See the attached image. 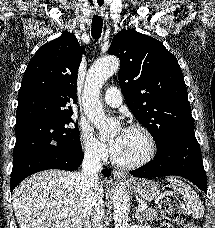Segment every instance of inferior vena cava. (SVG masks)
Returning <instances> with one entry per match:
<instances>
[{"instance_id": "602c4592", "label": "inferior vena cava", "mask_w": 215, "mask_h": 228, "mask_svg": "<svg viewBox=\"0 0 215 228\" xmlns=\"http://www.w3.org/2000/svg\"><path fill=\"white\" fill-rule=\"evenodd\" d=\"M102 170L101 154L97 148H85L81 172L74 174L75 188L80 196L83 208L84 228H103V190L99 182Z\"/></svg>"}]
</instances>
